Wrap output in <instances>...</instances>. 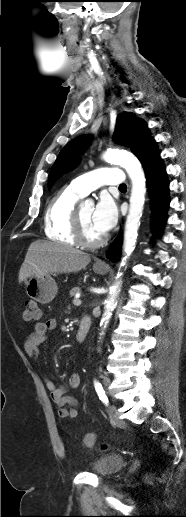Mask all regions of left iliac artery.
<instances>
[{
    "label": "left iliac artery",
    "mask_w": 186,
    "mask_h": 517,
    "mask_svg": "<svg viewBox=\"0 0 186 517\" xmlns=\"http://www.w3.org/2000/svg\"><path fill=\"white\" fill-rule=\"evenodd\" d=\"M94 386H95V390L99 396V399L104 403V404H108V398L105 394V391L101 385V383H99L98 381L94 380Z\"/></svg>",
    "instance_id": "left-iliac-artery-1"
}]
</instances>
